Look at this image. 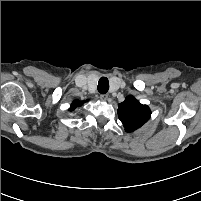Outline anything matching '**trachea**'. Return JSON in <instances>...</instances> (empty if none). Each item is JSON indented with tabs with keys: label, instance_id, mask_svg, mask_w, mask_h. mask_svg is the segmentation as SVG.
<instances>
[{
	"label": "trachea",
	"instance_id": "obj_1",
	"mask_svg": "<svg viewBox=\"0 0 201 201\" xmlns=\"http://www.w3.org/2000/svg\"><path fill=\"white\" fill-rule=\"evenodd\" d=\"M109 90V81L106 77H101L98 82V91L101 94L107 93Z\"/></svg>",
	"mask_w": 201,
	"mask_h": 201
}]
</instances>
